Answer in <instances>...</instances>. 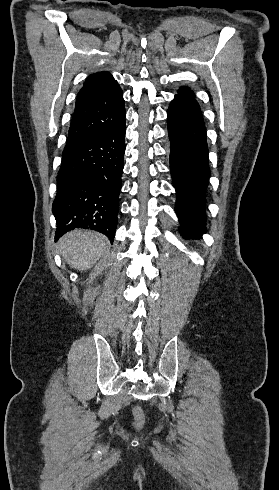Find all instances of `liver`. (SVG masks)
<instances>
[{
  "label": "liver",
  "instance_id": "1",
  "mask_svg": "<svg viewBox=\"0 0 279 490\" xmlns=\"http://www.w3.org/2000/svg\"><path fill=\"white\" fill-rule=\"evenodd\" d=\"M108 238L98 232L72 230L60 240L61 256L65 262L83 272L90 270L108 248Z\"/></svg>",
  "mask_w": 279,
  "mask_h": 490
}]
</instances>
